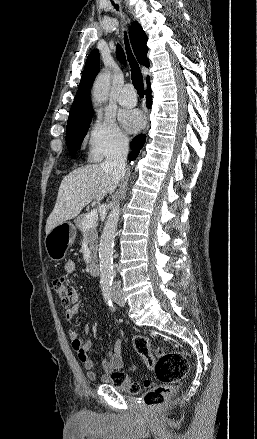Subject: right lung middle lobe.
<instances>
[{
    "label": "right lung middle lobe",
    "instance_id": "obj_1",
    "mask_svg": "<svg viewBox=\"0 0 257 439\" xmlns=\"http://www.w3.org/2000/svg\"><path fill=\"white\" fill-rule=\"evenodd\" d=\"M92 114L68 119L66 128V143L71 155L75 156V151L79 149L83 138L87 134L90 126Z\"/></svg>",
    "mask_w": 257,
    "mask_h": 439
}]
</instances>
